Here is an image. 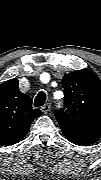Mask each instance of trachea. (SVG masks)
I'll list each match as a JSON object with an SVG mask.
<instances>
[{
  "instance_id": "obj_1",
  "label": "trachea",
  "mask_w": 101,
  "mask_h": 180,
  "mask_svg": "<svg viewBox=\"0 0 101 180\" xmlns=\"http://www.w3.org/2000/svg\"><path fill=\"white\" fill-rule=\"evenodd\" d=\"M45 101H46V94L43 91H41L37 94L35 98L34 106L35 107L43 106Z\"/></svg>"
}]
</instances>
